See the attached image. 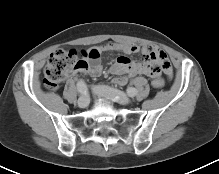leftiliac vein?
<instances>
[{
    "instance_id": "left-iliac-vein-1",
    "label": "left iliac vein",
    "mask_w": 219,
    "mask_h": 174,
    "mask_svg": "<svg viewBox=\"0 0 219 174\" xmlns=\"http://www.w3.org/2000/svg\"><path fill=\"white\" fill-rule=\"evenodd\" d=\"M93 91L97 94H101L112 99H117L123 105H128L131 103V99L125 93L113 88L106 86H95L93 87Z\"/></svg>"
}]
</instances>
